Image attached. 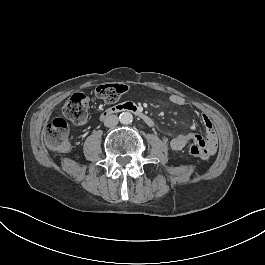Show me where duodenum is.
I'll return each mask as SVG.
<instances>
[{"label":"duodenum","instance_id":"duodenum-1","mask_svg":"<svg viewBox=\"0 0 265 265\" xmlns=\"http://www.w3.org/2000/svg\"><path fill=\"white\" fill-rule=\"evenodd\" d=\"M125 111H130L133 114H135L139 119H141L145 124H147L149 127L154 126V120L153 118L142 111L140 108H138L135 104L133 103H120L117 105H114L108 109H106L102 114H101V120H104L108 118L111 115L122 113Z\"/></svg>","mask_w":265,"mask_h":265}]
</instances>
